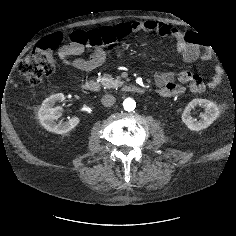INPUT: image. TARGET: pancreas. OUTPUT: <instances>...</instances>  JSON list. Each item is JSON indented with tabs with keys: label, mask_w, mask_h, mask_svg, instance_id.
Here are the masks:
<instances>
[{
	"label": "pancreas",
	"mask_w": 236,
	"mask_h": 236,
	"mask_svg": "<svg viewBox=\"0 0 236 236\" xmlns=\"http://www.w3.org/2000/svg\"><path fill=\"white\" fill-rule=\"evenodd\" d=\"M100 80H101V84L106 89L118 88L124 84V81H121L120 79H115L108 74H104Z\"/></svg>",
	"instance_id": "1"
}]
</instances>
